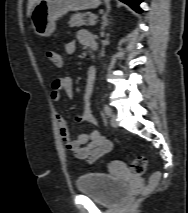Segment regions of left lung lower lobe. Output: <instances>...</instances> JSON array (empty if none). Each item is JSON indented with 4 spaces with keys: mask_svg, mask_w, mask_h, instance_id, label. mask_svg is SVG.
<instances>
[{
    "mask_svg": "<svg viewBox=\"0 0 188 213\" xmlns=\"http://www.w3.org/2000/svg\"><path fill=\"white\" fill-rule=\"evenodd\" d=\"M121 1L128 4L136 12H138V13L142 12V10L139 7V4L142 2V0H121Z\"/></svg>",
    "mask_w": 188,
    "mask_h": 213,
    "instance_id": "1",
    "label": "left lung lower lobe"
}]
</instances>
